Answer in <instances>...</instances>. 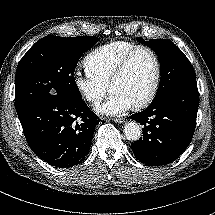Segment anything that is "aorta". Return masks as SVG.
Returning <instances> with one entry per match:
<instances>
[{
  "label": "aorta",
  "instance_id": "obj_1",
  "mask_svg": "<svg viewBox=\"0 0 215 215\" xmlns=\"http://www.w3.org/2000/svg\"><path fill=\"white\" fill-rule=\"evenodd\" d=\"M124 133L128 140L137 141L141 137V127L136 122H128L124 127Z\"/></svg>",
  "mask_w": 215,
  "mask_h": 215
}]
</instances>
